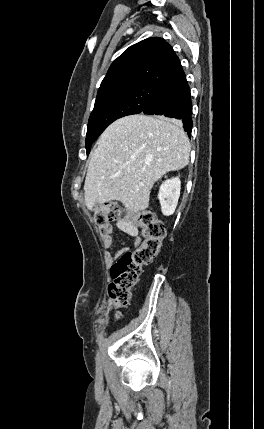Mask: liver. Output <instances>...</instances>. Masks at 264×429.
Returning a JSON list of instances; mask_svg holds the SVG:
<instances>
[{"label": "liver", "instance_id": "1", "mask_svg": "<svg viewBox=\"0 0 264 429\" xmlns=\"http://www.w3.org/2000/svg\"><path fill=\"white\" fill-rule=\"evenodd\" d=\"M190 142L177 120L162 116L130 115L113 122L91 154L84 183L85 204L120 201L132 214L149 206L154 183L170 171L187 166ZM117 227L138 234L127 217Z\"/></svg>", "mask_w": 264, "mask_h": 429}]
</instances>
